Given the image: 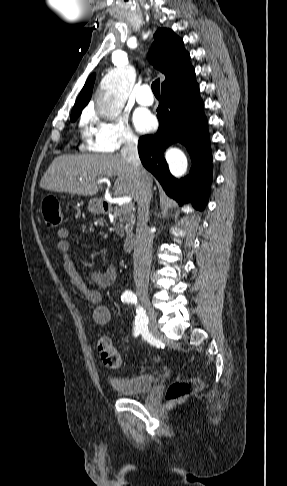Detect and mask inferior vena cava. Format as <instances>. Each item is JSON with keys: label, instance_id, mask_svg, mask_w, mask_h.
<instances>
[{"label": "inferior vena cava", "instance_id": "602c4592", "mask_svg": "<svg viewBox=\"0 0 287 486\" xmlns=\"http://www.w3.org/2000/svg\"><path fill=\"white\" fill-rule=\"evenodd\" d=\"M137 146V138L131 134L127 135L125 144L121 149V155L132 164L138 180L139 196L137 199L138 221L134 247V281L137 289L142 290L147 289L148 287L152 262L153 236L147 225L149 219V205L152 198V183L147 172L141 166Z\"/></svg>", "mask_w": 287, "mask_h": 486}]
</instances>
